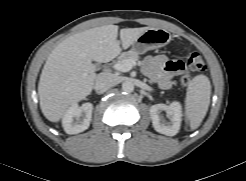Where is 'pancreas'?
Listing matches in <instances>:
<instances>
[{
    "label": "pancreas",
    "mask_w": 246,
    "mask_h": 181,
    "mask_svg": "<svg viewBox=\"0 0 246 181\" xmlns=\"http://www.w3.org/2000/svg\"><path fill=\"white\" fill-rule=\"evenodd\" d=\"M124 60H134L135 62L139 60V55L137 52L130 50L127 52L122 53L119 57H118V63L122 62Z\"/></svg>",
    "instance_id": "obj_1"
}]
</instances>
